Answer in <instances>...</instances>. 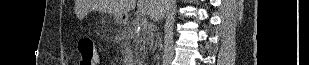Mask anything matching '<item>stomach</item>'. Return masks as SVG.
I'll return each mask as SVG.
<instances>
[{"label":"stomach","mask_w":309,"mask_h":65,"mask_svg":"<svg viewBox=\"0 0 309 65\" xmlns=\"http://www.w3.org/2000/svg\"><path fill=\"white\" fill-rule=\"evenodd\" d=\"M115 20L119 24H126L128 22V16L125 14H115Z\"/></svg>","instance_id":"obj_1"}]
</instances>
